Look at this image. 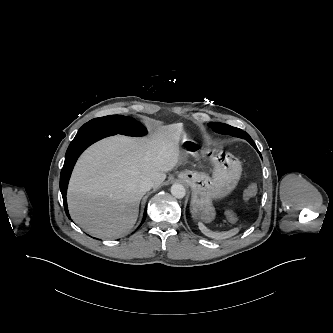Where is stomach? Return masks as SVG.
I'll return each mask as SVG.
<instances>
[{"mask_svg":"<svg viewBox=\"0 0 333 333\" xmlns=\"http://www.w3.org/2000/svg\"><path fill=\"white\" fill-rule=\"evenodd\" d=\"M193 155L204 159L212 167L211 176L204 171L185 169L178 174V178L191 187L192 217L209 223L216 215L213 199L231 193L240 179L242 165L238 158L222 150L196 149Z\"/></svg>","mask_w":333,"mask_h":333,"instance_id":"1","label":"stomach"}]
</instances>
